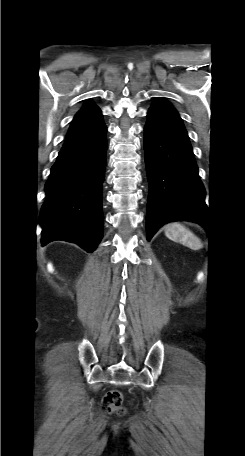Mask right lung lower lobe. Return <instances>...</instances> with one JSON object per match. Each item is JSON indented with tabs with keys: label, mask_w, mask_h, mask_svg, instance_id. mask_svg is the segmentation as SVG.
Wrapping results in <instances>:
<instances>
[{
	"label": "right lung lower lobe",
	"mask_w": 245,
	"mask_h": 456,
	"mask_svg": "<svg viewBox=\"0 0 245 456\" xmlns=\"http://www.w3.org/2000/svg\"><path fill=\"white\" fill-rule=\"evenodd\" d=\"M106 132L103 125L94 141L59 152L45 185L47 197L39 218L42 245L62 240L92 252L99 244Z\"/></svg>",
	"instance_id": "right-lung-lower-lobe-1"
}]
</instances>
